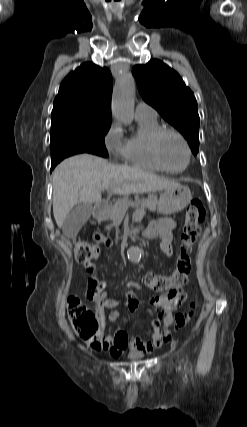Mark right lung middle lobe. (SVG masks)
Segmentation results:
<instances>
[{
  "label": "right lung middle lobe",
  "mask_w": 247,
  "mask_h": 427,
  "mask_svg": "<svg viewBox=\"0 0 247 427\" xmlns=\"http://www.w3.org/2000/svg\"><path fill=\"white\" fill-rule=\"evenodd\" d=\"M51 120V157L68 151L108 157L104 136L112 119H96L78 112L63 111L52 114Z\"/></svg>",
  "instance_id": "right-lung-middle-lobe-1"
}]
</instances>
